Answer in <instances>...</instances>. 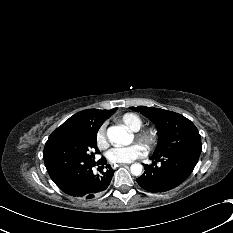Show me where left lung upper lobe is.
Masks as SVG:
<instances>
[{"instance_id": "1", "label": "left lung upper lobe", "mask_w": 233, "mask_h": 233, "mask_svg": "<svg viewBox=\"0 0 233 233\" xmlns=\"http://www.w3.org/2000/svg\"><path fill=\"white\" fill-rule=\"evenodd\" d=\"M155 123L159 141L153 155L176 154L198 162L201 137L196 126L181 114L146 106L130 107Z\"/></svg>"}]
</instances>
